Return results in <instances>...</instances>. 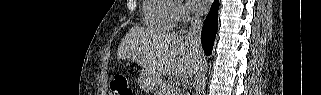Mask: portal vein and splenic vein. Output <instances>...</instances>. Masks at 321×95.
Returning <instances> with one entry per match:
<instances>
[{"instance_id":"1","label":"portal vein and splenic vein","mask_w":321,"mask_h":95,"mask_svg":"<svg viewBox=\"0 0 321 95\" xmlns=\"http://www.w3.org/2000/svg\"><path fill=\"white\" fill-rule=\"evenodd\" d=\"M171 85L174 89L180 88V83L176 80L171 81Z\"/></svg>"}]
</instances>
